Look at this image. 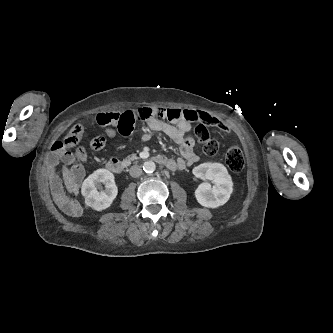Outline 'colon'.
Returning <instances> with one entry per match:
<instances>
[{
	"instance_id": "1",
	"label": "colon",
	"mask_w": 333,
	"mask_h": 333,
	"mask_svg": "<svg viewBox=\"0 0 333 333\" xmlns=\"http://www.w3.org/2000/svg\"><path fill=\"white\" fill-rule=\"evenodd\" d=\"M135 117L137 119H144L146 117V110L144 108H137L135 110ZM97 123L101 126H115L118 131L128 129L130 127L129 116L126 112H104L97 116ZM84 127L82 124H75L66 134V136L56 141L52 146V152L60 156L66 152L67 149L74 148L78 145ZM195 136L198 142L202 145L203 153L207 156L215 155L219 150L218 142L211 138L209 131L203 124H198L195 128ZM106 144L105 136H98L91 140L90 149L97 151L102 149ZM225 161L228 168L234 172L239 173L245 166V160L241 148L237 145L230 146L225 154Z\"/></svg>"
}]
</instances>
